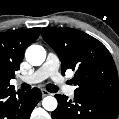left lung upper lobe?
Listing matches in <instances>:
<instances>
[{"label": "left lung upper lobe", "mask_w": 119, "mask_h": 119, "mask_svg": "<svg viewBox=\"0 0 119 119\" xmlns=\"http://www.w3.org/2000/svg\"><path fill=\"white\" fill-rule=\"evenodd\" d=\"M41 33L61 60L62 73L75 71V93L119 102L117 69L100 41L73 28L45 27Z\"/></svg>", "instance_id": "left-lung-upper-lobe-1"}]
</instances>
